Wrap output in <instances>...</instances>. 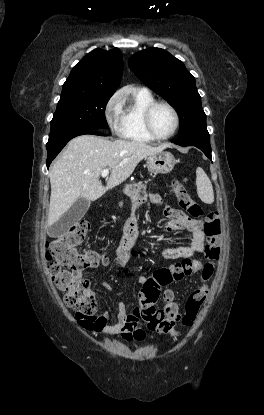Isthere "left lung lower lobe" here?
<instances>
[{"label":"left lung lower lobe","mask_w":264,"mask_h":415,"mask_svg":"<svg viewBox=\"0 0 264 415\" xmlns=\"http://www.w3.org/2000/svg\"><path fill=\"white\" fill-rule=\"evenodd\" d=\"M172 142L180 146H195L211 159L210 136L207 130L178 137L177 139H173Z\"/></svg>","instance_id":"left-lung-lower-lobe-1"}]
</instances>
